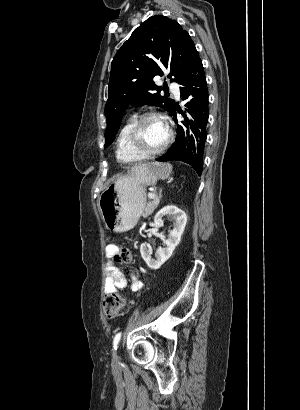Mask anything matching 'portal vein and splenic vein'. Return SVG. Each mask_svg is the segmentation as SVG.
Segmentation results:
<instances>
[{
	"label": "portal vein and splenic vein",
	"instance_id": "18ae733b",
	"mask_svg": "<svg viewBox=\"0 0 300 410\" xmlns=\"http://www.w3.org/2000/svg\"><path fill=\"white\" fill-rule=\"evenodd\" d=\"M148 198H150V199H155L156 198V195L155 194H153V193H148Z\"/></svg>",
	"mask_w": 300,
	"mask_h": 410
}]
</instances>
